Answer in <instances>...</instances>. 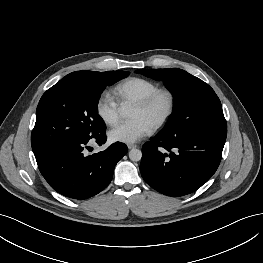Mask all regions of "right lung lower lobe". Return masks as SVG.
<instances>
[{"label": "right lung lower lobe", "instance_id": "obj_1", "mask_svg": "<svg viewBox=\"0 0 263 263\" xmlns=\"http://www.w3.org/2000/svg\"><path fill=\"white\" fill-rule=\"evenodd\" d=\"M93 140L104 144L105 131L95 137L64 140L34 153L41 174L55 191L69 198L87 199L108 186L115 165L128 149L116 142L87 156L86 149Z\"/></svg>", "mask_w": 263, "mask_h": 263}]
</instances>
